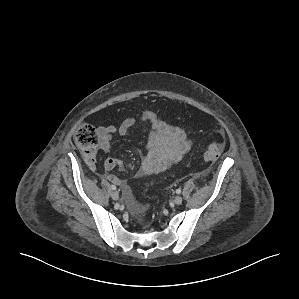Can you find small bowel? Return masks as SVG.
<instances>
[{"mask_svg": "<svg viewBox=\"0 0 299 299\" xmlns=\"http://www.w3.org/2000/svg\"><path fill=\"white\" fill-rule=\"evenodd\" d=\"M142 121L148 125V135L145 152L141 159V166L138 171V177H145L162 173L173 165L177 164L191 149L192 141L180 127L169 124L161 120L154 112L145 111ZM136 119L127 117L120 126L114 125L100 126L97 133L100 139V148L108 151L111 147V141L115 135H127L134 126ZM121 165V161L116 158H107L104 162V168L108 172L105 177L118 185L125 187V181L120 180L109 172ZM133 211L140 213L145 209V204L134 203Z\"/></svg>", "mask_w": 299, "mask_h": 299, "instance_id": "1", "label": "small bowel"}]
</instances>
